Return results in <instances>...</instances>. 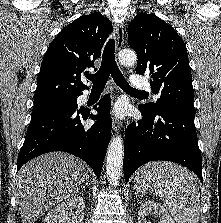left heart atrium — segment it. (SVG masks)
I'll use <instances>...</instances> for the list:
<instances>
[{
	"label": "left heart atrium",
	"instance_id": "1",
	"mask_svg": "<svg viewBox=\"0 0 221 223\" xmlns=\"http://www.w3.org/2000/svg\"><path fill=\"white\" fill-rule=\"evenodd\" d=\"M125 112L124 106L120 103L116 104L114 107V114L116 116H123Z\"/></svg>",
	"mask_w": 221,
	"mask_h": 223
}]
</instances>
